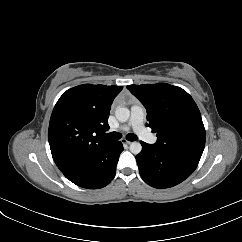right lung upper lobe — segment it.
I'll return each mask as SVG.
<instances>
[{"label":"right lung upper lobe","mask_w":242,"mask_h":242,"mask_svg":"<svg viewBox=\"0 0 242 242\" xmlns=\"http://www.w3.org/2000/svg\"><path fill=\"white\" fill-rule=\"evenodd\" d=\"M122 88L83 84L59 98L50 118L48 139L52 157L62 172L113 142L100 135L109 129L111 104Z\"/></svg>","instance_id":"right-lung-upper-lobe-1"}]
</instances>
